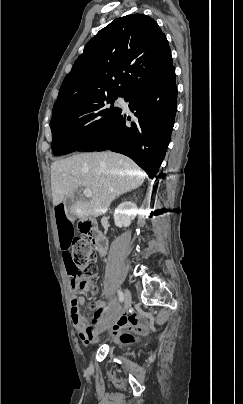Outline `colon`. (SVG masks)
<instances>
[{"instance_id":"5ec220e1","label":"colon","mask_w":243,"mask_h":404,"mask_svg":"<svg viewBox=\"0 0 243 404\" xmlns=\"http://www.w3.org/2000/svg\"><path fill=\"white\" fill-rule=\"evenodd\" d=\"M72 263L74 266L73 280L81 292L93 290L92 278L97 273V265L91 243L86 239H76L72 247ZM122 341H128L131 336L128 332L120 335Z\"/></svg>"}]
</instances>
